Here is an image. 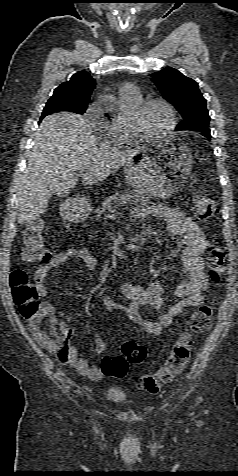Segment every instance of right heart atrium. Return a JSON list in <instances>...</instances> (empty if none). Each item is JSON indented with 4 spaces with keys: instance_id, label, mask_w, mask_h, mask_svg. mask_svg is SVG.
Returning <instances> with one entry per match:
<instances>
[{
    "instance_id": "obj_1",
    "label": "right heart atrium",
    "mask_w": 238,
    "mask_h": 476,
    "mask_svg": "<svg viewBox=\"0 0 238 476\" xmlns=\"http://www.w3.org/2000/svg\"><path fill=\"white\" fill-rule=\"evenodd\" d=\"M98 112H99V104L98 103L92 104L87 110L88 118L91 121L93 127L99 133L103 135H107L106 123L98 116Z\"/></svg>"
}]
</instances>
